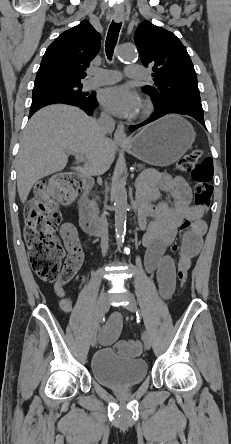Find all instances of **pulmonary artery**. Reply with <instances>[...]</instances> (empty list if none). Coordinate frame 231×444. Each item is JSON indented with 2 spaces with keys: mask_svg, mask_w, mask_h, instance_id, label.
<instances>
[{
  "mask_svg": "<svg viewBox=\"0 0 231 444\" xmlns=\"http://www.w3.org/2000/svg\"><path fill=\"white\" fill-rule=\"evenodd\" d=\"M93 77L85 83L86 88H94L106 84H112L120 79V74L115 70L109 69H91ZM126 77L132 80H140L143 78L144 69L140 66H127L125 70Z\"/></svg>",
  "mask_w": 231,
  "mask_h": 444,
  "instance_id": "e3ab8cb5",
  "label": "pulmonary artery"
}]
</instances>
